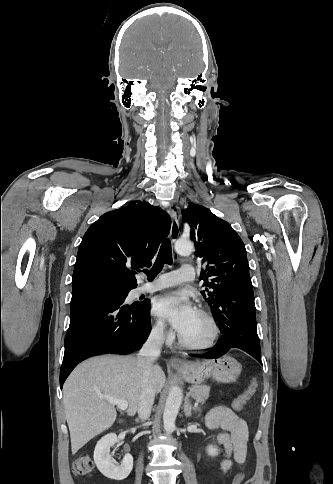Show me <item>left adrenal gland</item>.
<instances>
[{"label": "left adrenal gland", "instance_id": "1", "mask_svg": "<svg viewBox=\"0 0 333 484\" xmlns=\"http://www.w3.org/2000/svg\"><path fill=\"white\" fill-rule=\"evenodd\" d=\"M192 411H200L199 408H195L191 405L190 401L186 400L184 404V413L186 417H190L192 414Z\"/></svg>", "mask_w": 333, "mask_h": 484}]
</instances>
